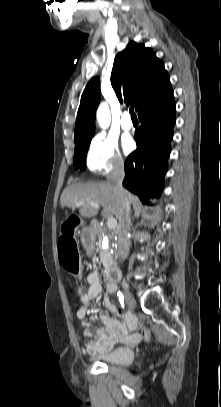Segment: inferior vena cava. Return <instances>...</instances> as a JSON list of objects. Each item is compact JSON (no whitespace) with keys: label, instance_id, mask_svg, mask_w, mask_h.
Wrapping results in <instances>:
<instances>
[{"label":"inferior vena cava","instance_id":"1","mask_svg":"<svg viewBox=\"0 0 221 407\" xmlns=\"http://www.w3.org/2000/svg\"><path fill=\"white\" fill-rule=\"evenodd\" d=\"M124 175V163L122 160H119L113 164L112 170L107 177V182L112 185L114 194L120 205V230L118 232L117 241L120 262L123 261L129 253L130 240L128 237V233L132 225L130 218V203L127 197V192L122 186Z\"/></svg>","mask_w":221,"mask_h":407}]
</instances>
